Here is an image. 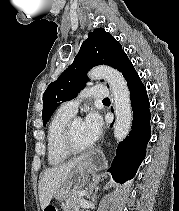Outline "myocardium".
I'll list each match as a JSON object with an SVG mask.
<instances>
[{
  "mask_svg": "<svg viewBox=\"0 0 179 211\" xmlns=\"http://www.w3.org/2000/svg\"><path fill=\"white\" fill-rule=\"evenodd\" d=\"M76 120L77 119H71L67 123L62 136V146L69 155L84 154L91 151L94 147L93 144L87 147H79L76 145L73 137V126Z\"/></svg>",
  "mask_w": 179,
  "mask_h": 211,
  "instance_id": "1",
  "label": "myocardium"
}]
</instances>
